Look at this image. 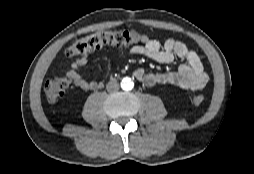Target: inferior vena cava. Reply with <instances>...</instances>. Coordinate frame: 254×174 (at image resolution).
<instances>
[{
  "label": "inferior vena cava",
  "mask_w": 254,
  "mask_h": 174,
  "mask_svg": "<svg viewBox=\"0 0 254 174\" xmlns=\"http://www.w3.org/2000/svg\"><path fill=\"white\" fill-rule=\"evenodd\" d=\"M106 88H107V91H109V92L116 91L119 89V83L117 81H110L106 85Z\"/></svg>",
  "instance_id": "1"
}]
</instances>
